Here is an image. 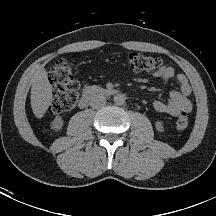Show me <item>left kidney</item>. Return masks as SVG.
<instances>
[{
    "label": "left kidney",
    "instance_id": "1",
    "mask_svg": "<svg viewBox=\"0 0 216 216\" xmlns=\"http://www.w3.org/2000/svg\"><path fill=\"white\" fill-rule=\"evenodd\" d=\"M155 126H156V129L159 131V132H163L164 131V127H163V124L161 121H157L155 123Z\"/></svg>",
    "mask_w": 216,
    "mask_h": 216
}]
</instances>
